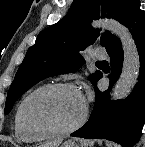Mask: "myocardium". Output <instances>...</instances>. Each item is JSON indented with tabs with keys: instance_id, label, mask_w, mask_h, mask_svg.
Wrapping results in <instances>:
<instances>
[{
	"instance_id": "f54148a6",
	"label": "myocardium",
	"mask_w": 145,
	"mask_h": 147,
	"mask_svg": "<svg viewBox=\"0 0 145 147\" xmlns=\"http://www.w3.org/2000/svg\"><path fill=\"white\" fill-rule=\"evenodd\" d=\"M57 90H74L80 94L78 88L74 84H71V83L48 84V85H44L42 87H39L36 90H34L33 92H31L25 98V100L22 104V107H21V112H20L21 121H22L24 127L28 131L41 133V134H43L45 136H49V137L65 136V135H69V134L75 132L80 127H82L83 124L86 122L87 117H88V104L83 97L82 98H83V102H84V108H83V113H82L81 117L79 118V120L76 123H74L73 125H71L67 128H64V129L54 128V127L46 124L43 121L36 120L31 117V115L29 113V108H30L31 102L35 98H37L41 95H44V94H47L50 92H54Z\"/></svg>"
}]
</instances>
